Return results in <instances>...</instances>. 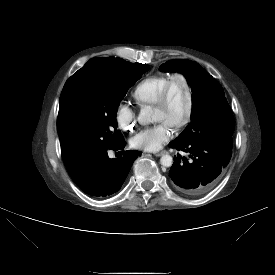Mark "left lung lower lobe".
<instances>
[{
  "mask_svg": "<svg viewBox=\"0 0 275 275\" xmlns=\"http://www.w3.org/2000/svg\"><path fill=\"white\" fill-rule=\"evenodd\" d=\"M169 146L186 153H177L170 169L173 186L187 195H200L209 191L228 165L232 145L210 140L181 144L170 142Z\"/></svg>",
  "mask_w": 275,
  "mask_h": 275,
  "instance_id": "obj_1",
  "label": "left lung lower lobe"
}]
</instances>
